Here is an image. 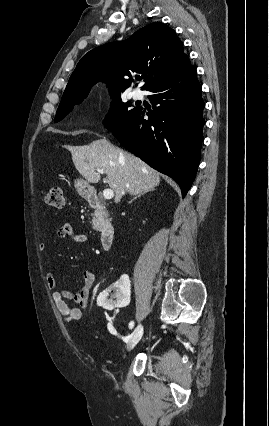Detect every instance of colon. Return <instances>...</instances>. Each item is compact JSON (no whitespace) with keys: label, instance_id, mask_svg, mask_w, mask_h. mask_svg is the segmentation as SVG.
I'll return each mask as SVG.
<instances>
[{"label":"colon","instance_id":"5ec220e1","mask_svg":"<svg viewBox=\"0 0 269 426\" xmlns=\"http://www.w3.org/2000/svg\"><path fill=\"white\" fill-rule=\"evenodd\" d=\"M46 203L53 208H63V188L59 185L51 187L46 196Z\"/></svg>","mask_w":269,"mask_h":426}]
</instances>
